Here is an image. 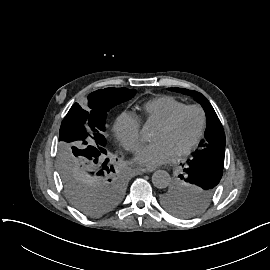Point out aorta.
I'll return each mask as SVG.
<instances>
[{
    "label": "aorta",
    "mask_w": 270,
    "mask_h": 270,
    "mask_svg": "<svg viewBox=\"0 0 270 270\" xmlns=\"http://www.w3.org/2000/svg\"><path fill=\"white\" fill-rule=\"evenodd\" d=\"M170 175L165 170H157L152 175V183L157 188H166L170 183Z\"/></svg>",
    "instance_id": "1"
}]
</instances>
